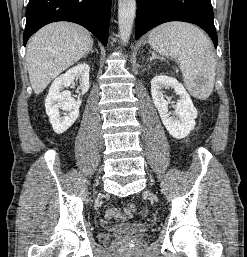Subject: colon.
<instances>
[{
  "mask_svg": "<svg viewBox=\"0 0 247 257\" xmlns=\"http://www.w3.org/2000/svg\"><path fill=\"white\" fill-rule=\"evenodd\" d=\"M136 213V206L132 203L124 207V211L120 212L116 208H111L106 211V218L109 220H124L131 218Z\"/></svg>",
  "mask_w": 247,
  "mask_h": 257,
  "instance_id": "5ec220e1",
  "label": "colon"
}]
</instances>
